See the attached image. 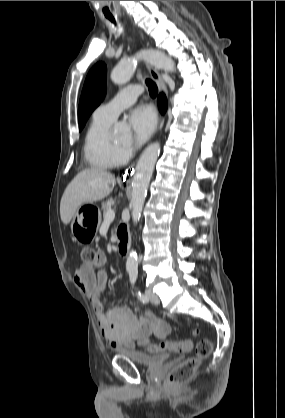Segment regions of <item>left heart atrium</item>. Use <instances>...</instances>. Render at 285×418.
<instances>
[{"label":"left heart atrium","mask_w":285,"mask_h":418,"mask_svg":"<svg viewBox=\"0 0 285 418\" xmlns=\"http://www.w3.org/2000/svg\"><path fill=\"white\" fill-rule=\"evenodd\" d=\"M128 124L131 127L136 143L147 141L157 125L155 111L149 106H139L128 114Z\"/></svg>","instance_id":"obj_1"}]
</instances>
